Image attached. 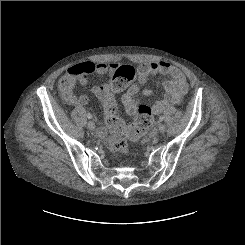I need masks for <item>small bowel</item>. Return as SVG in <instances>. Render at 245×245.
<instances>
[{
    "label": "small bowel",
    "mask_w": 245,
    "mask_h": 245,
    "mask_svg": "<svg viewBox=\"0 0 245 245\" xmlns=\"http://www.w3.org/2000/svg\"><path fill=\"white\" fill-rule=\"evenodd\" d=\"M91 64L94 66V69L89 74H95L98 76L106 75L108 77L107 81L96 84L92 87V93L99 100L105 102L108 97L112 96L113 79L120 74L124 67L120 66L116 62H100ZM154 74H162L169 77L162 82V86L165 90L164 97L152 105V110L155 113L159 114L163 112L166 108L172 105L179 104L182 101L188 89L186 78L183 72L166 61L145 62L140 64L137 68V80L129 85L128 89L121 97V101L127 113L131 115L136 113L138 105L140 103V96L151 95V90L144 85L148 76ZM76 76L77 75L72 72L71 68L61 78L59 86L62 93V98L69 105H86L89 102V97L86 95L77 96L74 93V87L76 85L74 78ZM87 76L80 82L86 84L88 82ZM66 82L70 83L69 87L65 86ZM108 133V128L102 127L99 131V136L106 137Z\"/></svg>",
    "instance_id": "1"
}]
</instances>
